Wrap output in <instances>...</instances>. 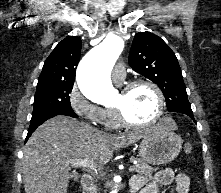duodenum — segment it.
<instances>
[{
  "mask_svg": "<svg viewBox=\"0 0 221 193\" xmlns=\"http://www.w3.org/2000/svg\"><path fill=\"white\" fill-rule=\"evenodd\" d=\"M80 182H81L83 193H90V189L92 185L91 174L89 172H83L80 176ZM130 193H135V192L131 190Z\"/></svg>",
  "mask_w": 221,
  "mask_h": 193,
  "instance_id": "obj_1",
  "label": "duodenum"
}]
</instances>
